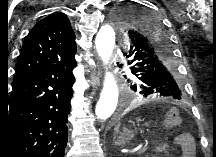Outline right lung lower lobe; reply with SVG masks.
I'll return each instance as SVG.
<instances>
[{"mask_svg": "<svg viewBox=\"0 0 216 157\" xmlns=\"http://www.w3.org/2000/svg\"><path fill=\"white\" fill-rule=\"evenodd\" d=\"M75 67L74 58L60 61L13 86L0 118V157H64Z\"/></svg>", "mask_w": 216, "mask_h": 157, "instance_id": "98d812e1", "label": "right lung lower lobe"}]
</instances>
